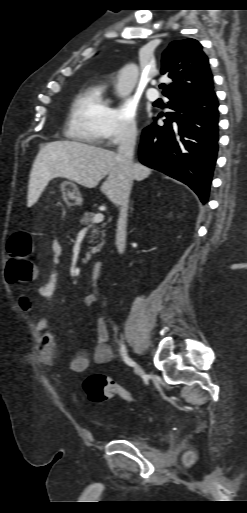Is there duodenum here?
<instances>
[{
    "mask_svg": "<svg viewBox=\"0 0 247 513\" xmlns=\"http://www.w3.org/2000/svg\"><path fill=\"white\" fill-rule=\"evenodd\" d=\"M102 271H103V263L100 261H96L93 264V268H92V273H91L92 281L98 282L99 279L101 278Z\"/></svg>",
    "mask_w": 247,
    "mask_h": 513,
    "instance_id": "1",
    "label": "duodenum"
}]
</instances>
